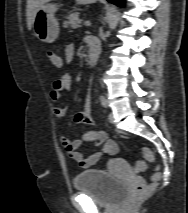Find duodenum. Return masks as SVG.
<instances>
[{
	"label": "duodenum",
	"instance_id": "410a0bca",
	"mask_svg": "<svg viewBox=\"0 0 188 213\" xmlns=\"http://www.w3.org/2000/svg\"><path fill=\"white\" fill-rule=\"evenodd\" d=\"M87 44L89 46L88 64L94 65L97 62L100 53V43L98 39L89 37Z\"/></svg>",
	"mask_w": 188,
	"mask_h": 213
}]
</instances>
